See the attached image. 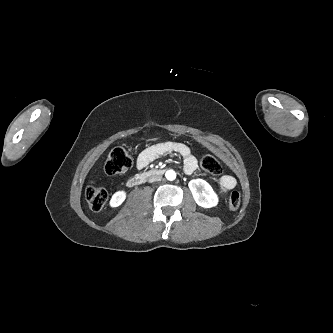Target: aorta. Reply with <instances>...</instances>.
I'll use <instances>...</instances> for the list:
<instances>
[{"instance_id": "obj_1", "label": "aorta", "mask_w": 333, "mask_h": 333, "mask_svg": "<svg viewBox=\"0 0 333 333\" xmlns=\"http://www.w3.org/2000/svg\"><path fill=\"white\" fill-rule=\"evenodd\" d=\"M167 180H174L176 178V172L174 170H168L165 174Z\"/></svg>"}]
</instances>
